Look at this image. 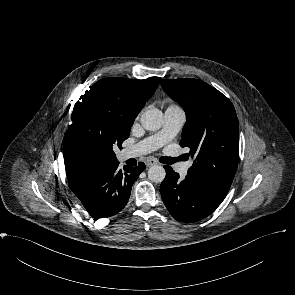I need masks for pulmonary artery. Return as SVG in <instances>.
<instances>
[{
    "mask_svg": "<svg viewBox=\"0 0 295 295\" xmlns=\"http://www.w3.org/2000/svg\"><path fill=\"white\" fill-rule=\"evenodd\" d=\"M185 122V113L183 109L176 105L169 106L164 115V125L160 132L150 136L139 143L128 147L122 152V159H128L148 154L175 137ZM190 164L180 163L176 170L181 175H186Z\"/></svg>",
    "mask_w": 295,
    "mask_h": 295,
    "instance_id": "e3ab8cb5",
    "label": "pulmonary artery"
}]
</instances>
